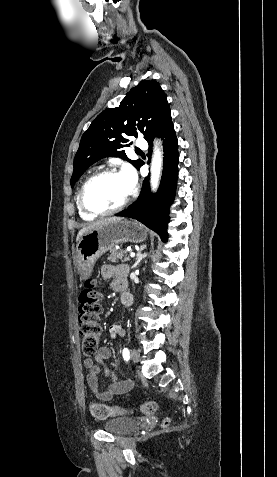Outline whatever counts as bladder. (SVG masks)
<instances>
[{"mask_svg": "<svg viewBox=\"0 0 277 477\" xmlns=\"http://www.w3.org/2000/svg\"><path fill=\"white\" fill-rule=\"evenodd\" d=\"M138 421L131 417L118 416L108 419L104 423V429L114 435H126L134 431Z\"/></svg>", "mask_w": 277, "mask_h": 477, "instance_id": "bladder-1", "label": "bladder"}]
</instances>
